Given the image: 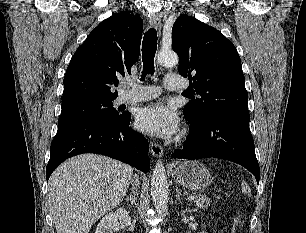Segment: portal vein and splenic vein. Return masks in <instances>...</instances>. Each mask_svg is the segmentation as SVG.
I'll return each mask as SVG.
<instances>
[{"mask_svg":"<svg viewBox=\"0 0 306 233\" xmlns=\"http://www.w3.org/2000/svg\"><path fill=\"white\" fill-rule=\"evenodd\" d=\"M194 199H195V196H193V195H191V196L188 197V200H190V201H192V200H194Z\"/></svg>","mask_w":306,"mask_h":233,"instance_id":"18ae733b","label":"portal vein and splenic vein"}]
</instances>
